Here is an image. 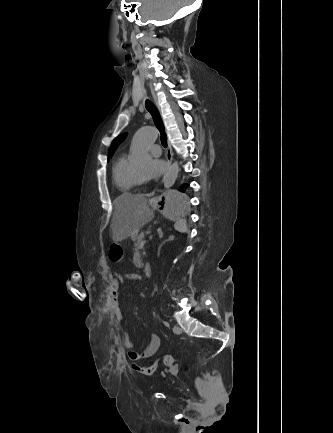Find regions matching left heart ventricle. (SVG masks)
I'll return each instance as SVG.
<instances>
[{"label":"left heart ventricle","mask_w":333,"mask_h":433,"mask_svg":"<svg viewBox=\"0 0 333 433\" xmlns=\"http://www.w3.org/2000/svg\"><path fill=\"white\" fill-rule=\"evenodd\" d=\"M147 157L148 158L151 157L150 153L147 154ZM145 168H146V164L145 163L134 166V169L136 170V172L139 174V176L141 178H143V173H144Z\"/></svg>","instance_id":"1"}]
</instances>
